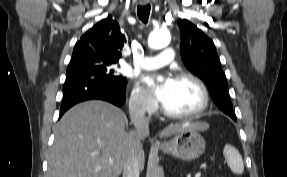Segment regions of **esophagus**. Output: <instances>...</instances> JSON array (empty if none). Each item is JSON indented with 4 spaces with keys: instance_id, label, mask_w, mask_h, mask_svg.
I'll return each mask as SVG.
<instances>
[{
    "instance_id": "esophagus-1",
    "label": "esophagus",
    "mask_w": 287,
    "mask_h": 177,
    "mask_svg": "<svg viewBox=\"0 0 287 177\" xmlns=\"http://www.w3.org/2000/svg\"><path fill=\"white\" fill-rule=\"evenodd\" d=\"M139 4L141 6H147L149 4V0H139Z\"/></svg>"
}]
</instances>
